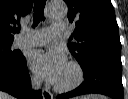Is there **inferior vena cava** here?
Returning <instances> with one entry per match:
<instances>
[{
    "label": "inferior vena cava",
    "mask_w": 128,
    "mask_h": 99,
    "mask_svg": "<svg viewBox=\"0 0 128 99\" xmlns=\"http://www.w3.org/2000/svg\"><path fill=\"white\" fill-rule=\"evenodd\" d=\"M32 87L33 89H40L41 87V81L38 78H33L32 79Z\"/></svg>",
    "instance_id": "1"
}]
</instances>
